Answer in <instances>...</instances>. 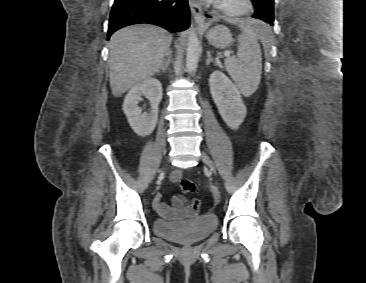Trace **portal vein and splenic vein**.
Segmentation results:
<instances>
[{"label": "portal vein and splenic vein", "instance_id": "1", "mask_svg": "<svg viewBox=\"0 0 366 283\" xmlns=\"http://www.w3.org/2000/svg\"><path fill=\"white\" fill-rule=\"evenodd\" d=\"M224 55H225L226 57H228V56H230V52H225V53H224Z\"/></svg>", "mask_w": 366, "mask_h": 283}]
</instances>
